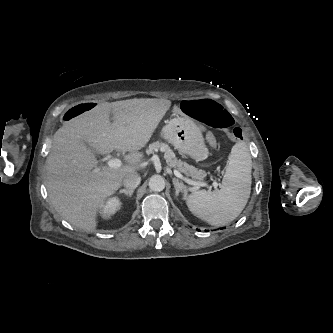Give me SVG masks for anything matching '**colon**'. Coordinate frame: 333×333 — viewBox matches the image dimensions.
<instances>
[{"label": "colon", "instance_id": "obj_1", "mask_svg": "<svg viewBox=\"0 0 333 333\" xmlns=\"http://www.w3.org/2000/svg\"><path fill=\"white\" fill-rule=\"evenodd\" d=\"M95 103L80 104L69 109L64 120L70 121L85 110L95 108ZM183 111H187L189 116L197 119L206 126L226 129L227 135L236 140H244L245 132L234 122L233 117L224 110L221 105L210 99L189 100L182 103Z\"/></svg>", "mask_w": 333, "mask_h": 333}]
</instances>
